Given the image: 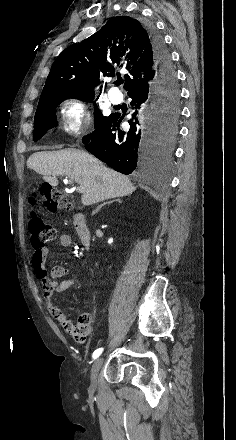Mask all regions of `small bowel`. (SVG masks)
Returning a JSON list of instances; mask_svg holds the SVG:
<instances>
[{"instance_id": "1", "label": "small bowel", "mask_w": 236, "mask_h": 440, "mask_svg": "<svg viewBox=\"0 0 236 440\" xmlns=\"http://www.w3.org/2000/svg\"><path fill=\"white\" fill-rule=\"evenodd\" d=\"M71 243L72 239L68 234H60L55 241L58 248H67ZM48 254L49 248L41 247L34 249L31 257L35 275L43 288L44 305L49 313L58 320L61 330L69 333L76 342L84 344L91 330L95 329V322L92 321L90 313L81 314L78 321H70L68 316L55 304L53 295L62 294L76 286L77 280L74 278L62 279L68 274V269L64 266L54 267L48 275L45 268Z\"/></svg>"}]
</instances>
